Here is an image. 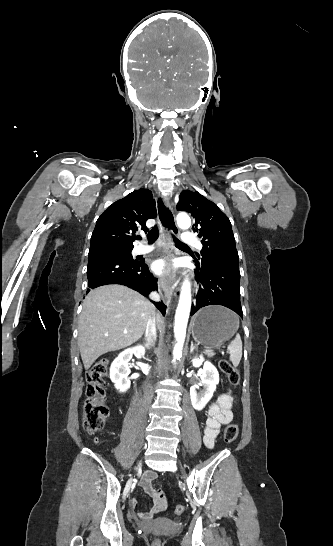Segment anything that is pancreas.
<instances>
[{
    "mask_svg": "<svg viewBox=\"0 0 333 546\" xmlns=\"http://www.w3.org/2000/svg\"><path fill=\"white\" fill-rule=\"evenodd\" d=\"M208 357H213L215 355L214 351L210 350V352L206 353Z\"/></svg>",
    "mask_w": 333,
    "mask_h": 546,
    "instance_id": "1",
    "label": "pancreas"
}]
</instances>
